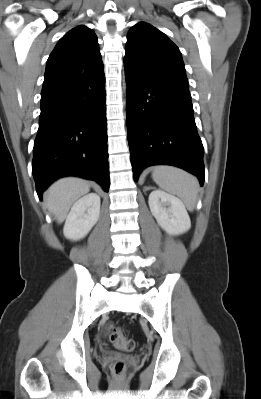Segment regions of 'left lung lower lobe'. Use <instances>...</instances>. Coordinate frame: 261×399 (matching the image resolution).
I'll list each match as a JSON object with an SVG mask.
<instances>
[{"instance_id": "obj_1", "label": "left lung lower lobe", "mask_w": 261, "mask_h": 399, "mask_svg": "<svg viewBox=\"0 0 261 399\" xmlns=\"http://www.w3.org/2000/svg\"><path fill=\"white\" fill-rule=\"evenodd\" d=\"M127 130L134 180L148 166L167 164L203 185V145L188 88L144 80L125 69Z\"/></svg>"}]
</instances>
